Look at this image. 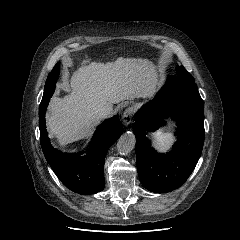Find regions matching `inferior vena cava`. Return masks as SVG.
I'll return each mask as SVG.
<instances>
[{"label": "inferior vena cava", "mask_w": 240, "mask_h": 240, "mask_svg": "<svg viewBox=\"0 0 240 240\" xmlns=\"http://www.w3.org/2000/svg\"><path fill=\"white\" fill-rule=\"evenodd\" d=\"M93 115L96 118H104L111 114L112 110L104 104H96L92 107Z\"/></svg>", "instance_id": "inferior-vena-cava-1"}]
</instances>
